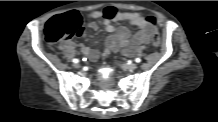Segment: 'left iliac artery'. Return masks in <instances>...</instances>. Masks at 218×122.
<instances>
[{
  "mask_svg": "<svg viewBox=\"0 0 218 122\" xmlns=\"http://www.w3.org/2000/svg\"><path fill=\"white\" fill-rule=\"evenodd\" d=\"M135 62L140 63V62H141V59H140V58H136V59H135Z\"/></svg>",
  "mask_w": 218,
  "mask_h": 122,
  "instance_id": "44dca946",
  "label": "left iliac artery"
}]
</instances>
